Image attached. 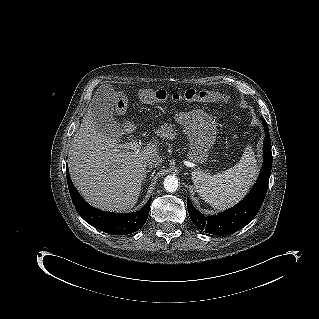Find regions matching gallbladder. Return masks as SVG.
Here are the masks:
<instances>
[{"mask_svg": "<svg viewBox=\"0 0 319 319\" xmlns=\"http://www.w3.org/2000/svg\"><path fill=\"white\" fill-rule=\"evenodd\" d=\"M91 110L99 131L112 133L121 131V126L113 117V89L107 85L101 87L92 99Z\"/></svg>", "mask_w": 319, "mask_h": 319, "instance_id": "bac80fb5", "label": "gallbladder"}]
</instances>
